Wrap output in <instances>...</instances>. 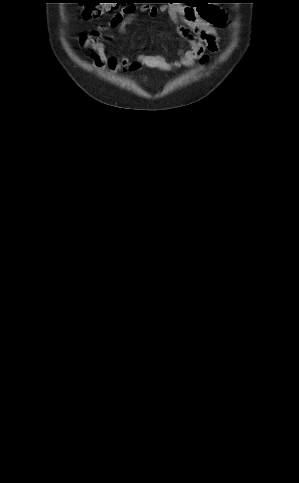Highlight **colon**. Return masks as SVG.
Segmentation results:
<instances>
[{
  "label": "colon",
  "instance_id": "1",
  "mask_svg": "<svg viewBox=\"0 0 299 483\" xmlns=\"http://www.w3.org/2000/svg\"><path fill=\"white\" fill-rule=\"evenodd\" d=\"M83 8L80 11V14L83 18L86 19H99L101 17L107 16L111 14L118 3V0H84L83 1ZM205 4L198 5L199 15L204 18L208 19V14L204 8Z\"/></svg>",
  "mask_w": 299,
  "mask_h": 483
}]
</instances>
